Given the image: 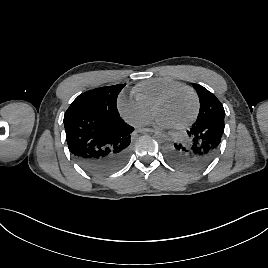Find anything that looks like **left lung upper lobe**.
<instances>
[{
	"instance_id": "5c2ea615",
	"label": "left lung upper lobe",
	"mask_w": 268,
	"mask_h": 268,
	"mask_svg": "<svg viewBox=\"0 0 268 268\" xmlns=\"http://www.w3.org/2000/svg\"><path fill=\"white\" fill-rule=\"evenodd\" d=\"M193 87L200 100V111L197 120L193 125L202 122L216 124L218 122H215V120L225 118L224 108L214 94L199 84H193Z\"/></svg>"
}]
</instances>
